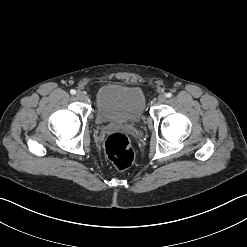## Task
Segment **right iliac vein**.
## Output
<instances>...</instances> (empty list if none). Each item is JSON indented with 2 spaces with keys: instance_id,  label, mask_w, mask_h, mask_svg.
I'll return each mask as SVG.
<instances>
[{
  "instance_id": "63e3f726",
  "label": "right iliac vein",
  "mask_w": 247,
  "mask_h": 247,
  "mask_svg": "<svg viewBox=\"0 0 247 247\" xmlns=\"http://www.w3.org/2000/svg\"><path fill=\"white\" fill-rule=\"evenodd\" d=\"M76 98H77L78 100H84V99L86 98V96H85V94H84L82 91H78V92L76 93Z\"/></svg>"
}]
</instances>
